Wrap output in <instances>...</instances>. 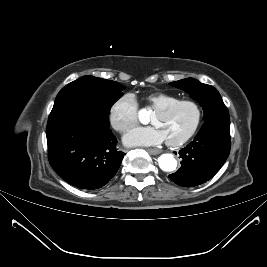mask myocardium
Wrapping results in <instances>:
<instances>
[{
    "mask_svg": "<svg viewBox=\"0 0 267 267\" xmlns=\"http://www.w3.org/2000/svg\"><path fill=\"white\" fill-rule=\"evenodd\" d=\"M183 104H190L191 106H193V108L195 109V112H196L195 121H194L192 127L190 128V130L181 138L176 139V140H166V143L169 146L182 145L193 137V135L198 130V128L201 124V121H202V108H201L200 104L193 99H179L177 101L169 103V104L155 110V113H157V114H167L170 111H172L174 108H176L180 105H183Z\"/></svg>",
    "mask_w": 267,
    "mask_h": 267,
    "instance_id": "obj_1",
    "label": "myocardium"
}]
</instances>
